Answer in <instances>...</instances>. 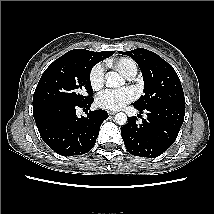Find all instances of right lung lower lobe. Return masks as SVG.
I'll use <instances>...</instances> for the list:
<instances>
[{
  "instance_id": "98d812e1",
  "label": "right lung lower lobe",
  "mask_w": 214,
  "mask_h": 214,
  "mask_svg": "<svg viewBox=\"0 0 214 214\" xmlns=\"http://www.w3.org/2000/svg\"><path fill=\"white\" fill-rule=\"evenodd\" d=\"M92 101L93 98L85 102H50L33 108L42 139L59 155H81L93 148L107 111H87L86 117L76 115L78 108L89 110Z\"/></svg>"
}]
</instances>
